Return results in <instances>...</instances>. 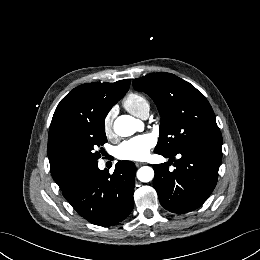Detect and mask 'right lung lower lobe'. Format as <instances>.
<instances>
[{"label": "right lung lower lobe", "mask_w": 260, "mask_h": 260, "mask_svg": "<svg viewBox=\"0 0 260 260\" xmlns=\"http://www.w3.org/2000/svg\"><path fill=\"white\" fill-rule=\"evenodd\" d=\"M136 166L119 161L113 174L98 164L76 173L61 190L65 199L86 220L109 226L124 220L134 205Z\"/></svg>", "instance_id": "98d812e1"}]
</instances>
